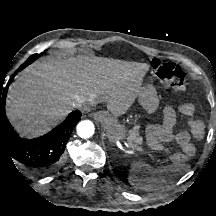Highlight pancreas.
Listing matches in <instances>:
<instances>
[{"instance_id":"obj_1","label":"pancreas","mask_w":216,"mask_h":216,"mask_svg":"<svg viewBox=\"0 0 216 216\" xmlns=\"http://www.w3.org/2000/svg\"><path fill=\"white\" fill-rule=\"evenodd\" d=\"M128 141L129 144L137 150H142L141 147L137 146L136 144H141L142 143V137L139 135V132L137 130H135L134 132H132L130 134V136L128 137ZM135 143V144H133Z\"/></svg>"}]
</instances>
